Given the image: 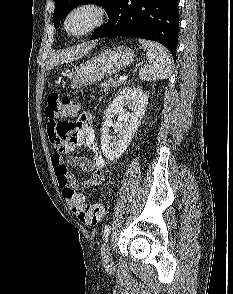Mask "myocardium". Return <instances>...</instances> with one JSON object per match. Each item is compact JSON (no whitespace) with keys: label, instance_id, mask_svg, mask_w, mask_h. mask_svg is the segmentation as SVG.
<instances>
[{"label":"myocardium","instance_id":"myocardium-1","mask_svg":"<svg viewBox=\"0 0 233 294\" xmlns=\"http://www.w3.org/2000/svg\"><path fill=\"white\" fill-rule=\"evenodd\" d=\"M80 11L92 12L93 16H94L93 22L85 30H83L79 33H72L68 29V22H69L70 18L75 13L80 12ZM106 16H107L106 9L102 5H100L94 1H82V2L75 4L73 7H71L68 10V12L66 13L64 20H63V29H64L65 33L71 37H75V38L83 37V36H86V35L92 33L96 29H98L104 23Z\"/></svg>","mask_w":233,"mask_h":294}]
</instances>
